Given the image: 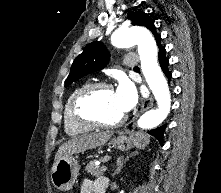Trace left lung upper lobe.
Wrapping results in <instances>:
<instances>
[{
	"label": "left lung upper lobe",
	"mask_w": 221,
	"mask_h": 193,
	"mask_svg": "<svg viewBox=\"0 0 221 193\" xmlns=\"http://www.w3.org/2000/svg\"><path fill=\"white\" fill-rule=\"evenodd\" d=\"M128 18L132 20L133 25L148 28L153 33L157 44L160 43L161 37L156 32L154 21L148 14L136 11L130 14ZM109 58L110 54L101 42L95 41L88 44L83 52L75 58L66 79L65 87L87 74L103 69L109 62Z\"/></svg>",
	"instance_id": "1"
}]
</instances>
